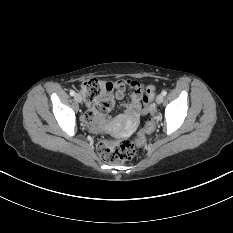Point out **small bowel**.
I'll list each match as a JSON object with an SVG mask.
<instances>
[{
  "label": "small bowel",
  "mask_w": 233,
  "mask_h": 233,
  "mask_svg": "<svg viewBox=\"0 0 233 233\" xmlns=\"http://www.w3.org/2000/svg\"><path fill=\"white\" fill-rule=\"evenodd\" d=\"M114 85V99L122 100L125 96L126 88L131 90L130 99L124 105L126 116L132 121L146 113V108L144 105V87L136 80H118L113 83ZM101 101L98 100H87V112L85 115L86 121L94 130H100L104 124L105 119L103 118L102 112H100L99 107Z\"/></svg>",
  "instance_id": "small-bowel-1"
}]
</instances>
